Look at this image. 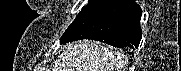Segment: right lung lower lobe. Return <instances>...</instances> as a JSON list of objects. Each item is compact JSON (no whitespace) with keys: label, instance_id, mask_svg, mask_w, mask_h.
Returning <instances> with one entry per match:
<instances>
[{"label":"right lung lower lobe","instance_id":"right-lung-lower-lobe-1","mask_svg":"<svg viewBox=\"0 0 181 71\" xmlns=\"http://www.w3.org/2000/svg\"><path fill=\"white\" fill-rule=\"evenodd\" d=\"M141 14L134 0H97L76 17L62 35L61 44L93 39L118 48H138Z\"/></svg>","mask_w":181,"mask_h":71}]
</instances>
